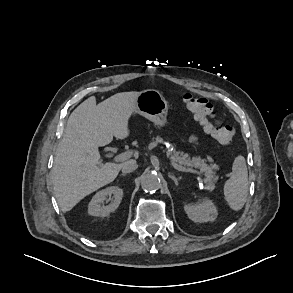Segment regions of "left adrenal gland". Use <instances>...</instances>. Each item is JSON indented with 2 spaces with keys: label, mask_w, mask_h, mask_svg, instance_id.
I'll list each match as a JSON object with an SVG mask.
<instances>
[{
  "label": "left adrenal gland",
  "mask_w": 293,
  "mask_h": 293,
  "mask_svg": "<svg viewBox=\"0 0 293 293\" xmlns=\"http://www.w3.org/2000/svg\"><path fill=\"white\" fill-rule=\"evenodd\" d=\"M168 176L174 181L175 185L178 186V180L181 179V177L176 178L175 176L168 174Z\"/></svg>",
  "instance_id": "obj_1"
}]
</instances>
